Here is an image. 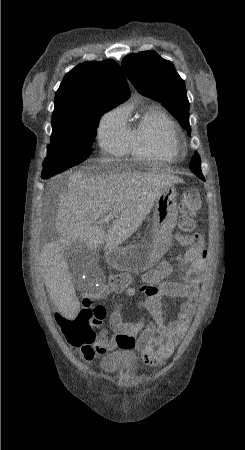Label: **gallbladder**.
Returning <instances> with one entry per match:
<instances>
[{
  "mask_svg": "<svg viewBox=\"0 0 245 450\" xmlns=\"http://www.w3.org/2000/svg\"><path fill=\"white\" fill-rule=\"evenodd\" d=\"M65 259L74 284L78 286L80 276L97 266L99 253L97 250H89L84 244L73 242L65 251Z\"/></svg>",
  "mask_w": 245,
  "mask_h": 450,
  "instance_id": "gallbladder-1",
  "label": "gallbladder"
}]
</instances>
